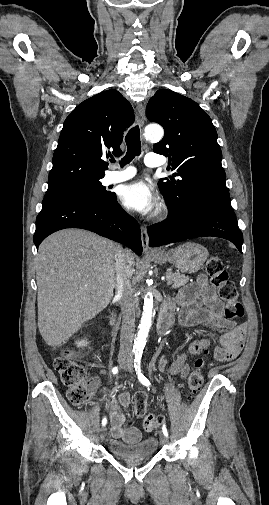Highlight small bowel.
<instances>
[{
    "mask_svg": "<svg viewBox=\"0 0 269 505\" xmlns=\"http://www.w3.org/2000/svg\"><path fill=\"white\" fill-rule=\"evenodd\" d=\"M177 303L181 310L179 322L185 327H203L220 333V346L215 349L214 360L227 362L235 359L241 352L247 331L246 324H235L223 314V303L217 297L216 291L208 284L204 274L199 275L195 284L186 286L177 296ZM172 308L173 306L170 305ZM210 344L207 338L193 341L188 350L177 356L167 367L166 360L160 361L162 369L172 374H179L185 378L189 372L187 360L196 356ZM118 402L130 406V396L127 392L118 395ZM111 435L115 439H122L134 443L141 439V431L134 426H124L125 416L120 411L119 404L110 400L109 406Z\"/></svg>",
    "mask_w": 269,
    "mask_h": 505,
    "instance_id": "1",
    "label": "small bowel"
}]
</instances>
